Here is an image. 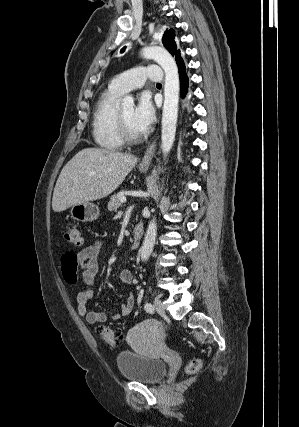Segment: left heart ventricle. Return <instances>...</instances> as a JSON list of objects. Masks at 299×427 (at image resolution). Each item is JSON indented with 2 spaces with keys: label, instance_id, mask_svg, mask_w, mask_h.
<instances>
[{
  "label": "left heart ventricle",
  "instance_id": "left-heart-ventricle-1",
  "mask_svg": "<svg viewBox=\"0 0 299 427\" xmlns=\"http://www.w3.org/2000/svg\"><path fill=\"white\" fill-rule=\"evenodd\" d=\"M133 107L132 106H128V107H122L120 108V111L122 113V116L127 124V126L129 127V129L133 132V133H137L139 134V131L135 128V126L133 125L132 122V116H133Z\"/></svg>",
  "mask_w": 299,
  "mask_h": 427
}]
</instances>
